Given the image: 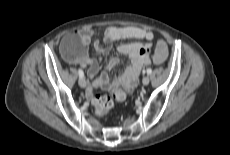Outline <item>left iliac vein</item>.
Here are the masks:
<instances>
[{
  "label": "left iliac vein",
  "mask_w": 230,
  "mask_h": 155,
  "mask_svg": "<svg viewBox=\"0 0 230 155\" xmlns=\"http://www.w3.org/2000/svg\"><path fill=\"white\" fill-rule=\"evenodd\" d=\"M149 82H150V79L147 76L142 79V84L145 85V86L148 85Z\"/></svg>",
  "instance_id": "1"
}]
</instances>
